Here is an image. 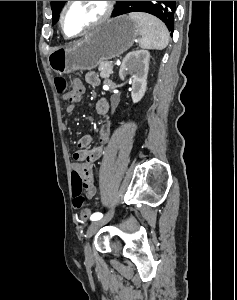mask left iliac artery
<instances>
[{
  "label": "left iliac artery",
  "instance_id": "left-iliac-artery-1",
  "mask_svg": "<svg viewBox=\"0 0 237 300\" xmlns=\"http://www.w3.org/2000/svg\"><path fill=\"white\" fill-rule=\"evenodd\" d=\"M102 217H103V214L97 212V213H94V214L90 217V219H91L92 221H96V220L101 219Z\"/></svg>",
  "mask_w": 237,
  "mask_h": 300
}]
</instances>
